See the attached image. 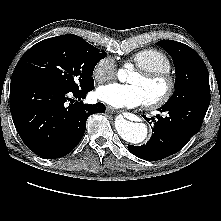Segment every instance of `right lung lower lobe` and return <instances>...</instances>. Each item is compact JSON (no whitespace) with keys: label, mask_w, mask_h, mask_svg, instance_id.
<instances>
[{"label":"right lung lower lobe","mask_w":221,"mask_h":221,"mask_svg":"<svg viewBox=\"0 0 221 221\" xmlns=\"http://www.w3.org/2000/svg\"><path fill=\"white\" fill-rule=\"evenodd\" d=\"M91 90H67L39 76L13 72L10 111L26 146L46 159L70 153L85 133L87 118L105 112L100 102L94 105L80 102ZM72 96L78 100L74 102Z\"/></svg>","instance_id":"obj_1"}]
</instances>
